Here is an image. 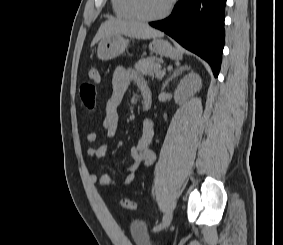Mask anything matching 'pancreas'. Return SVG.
Segmentation results:
<instances>
[{
  "label": "pancreas",
  "instance_id": "obj_1",
  "mask_svg": "<svg viewBox=\"0 0 283 245\" xmlns=\"http://www.w3.org/2000/svg\"><path fill=\"white\" fill-rule=\"evenodd\" d=\"M135 70L142 74H148L151 76L155 75L157 79H161L163 77L161 66L158 63V58L156 57H148V58L140 59L135 64Z\"/></svg>",
  "mask_w": 283,
  "mask_h": 245
}]
</instances>
